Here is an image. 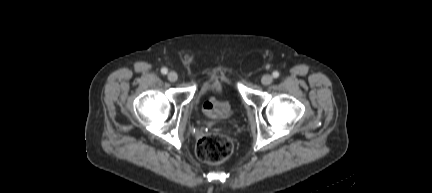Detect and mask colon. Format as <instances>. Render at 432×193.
<instances>
[{
  "label": "colon",
  "mask_w": 432,
  "mask_h": 193,
  "mask_svg": "<svg viewBox=\"0 0 432 193\" xmlns=\"http://www.w3.org/2000/svg\"><path fill=\"white\" fill-rule=\"evenodd\" d=\"M233 152V142L230 138L221 135L203 136L197 143L196 154L198 158L209 164L225 161Z\"/></svg>",
  "instance_id": "obj_1"
}]
</instances>
